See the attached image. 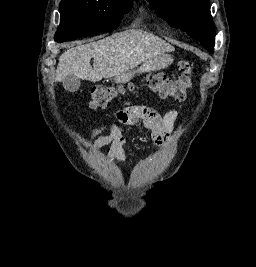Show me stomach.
Returning a JSON list of instances; mask_svg holds the SVG:
<instances>
[{
    "mask_svg": "<svg viewBox=\"0 0 256 267\" xmlns=\"http://www.w3.org/2000/svg\"><path fill=\"white\" fill-rule=\"evenodd\" d=\"M158 60H161V62H141V67H154L156 70H162L161 67H168L169 64H172V56H169V54H166V56H161V58H158Z\"/></svg>",
    "mask_w": 256,
    "mask_h": 267,
    "instance_id": "obj_1",
    "label": "stomach"
}]
</instances>
